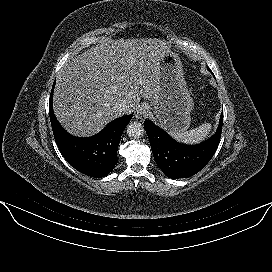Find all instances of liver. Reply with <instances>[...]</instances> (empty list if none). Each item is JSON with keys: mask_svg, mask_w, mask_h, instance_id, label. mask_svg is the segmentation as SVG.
Here are the masks:
<instances>
[{"mask_svg": "<svg viewBox=\"0 0 272 272\" xmlns=\"http://www.w3.org/2000/svg\"><path fill=\"white\" fill-rule=\"evenodd\" d=\"M169 50L157 38L108 39L73 57L57 76L53 109L71 134L88 137L120 116L115 106L131 112L141 98L158 92L160 61Z\"/></svg>", "mask_w": 272, "mask_h": 272, "instance_id": "obj_1", "label": "liver"}]
</instances>
